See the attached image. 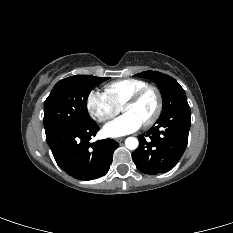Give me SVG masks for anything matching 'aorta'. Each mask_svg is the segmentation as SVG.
<instances>
[{
	"mask_svg": "<svg viewBox=\"0 0 233 233\" xmlns=\"http://www.w3.org/2000/svg\"><path fill=\"white\" fill-rule=\"evenodd\" d=\"M139 145L138 139L135 137H128L125 140V146L126 148L130 150H135Z\"/></svg>",
	"mask_w": 233,
	"mask_h": 233,
	"instance_id": "1",
	"label": "aorta"
}]
</instances>
